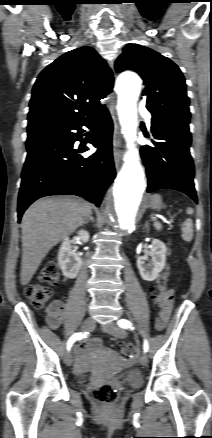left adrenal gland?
Listing matches in <instances>:
<instances>
[{"mask_svg":"<svg viewBox=\"0 0 212 438\" xmlns=\"http://www.w3.org/2000/svg\"><path fill=\"white\" fill-rule=\"evenodd\" d=\"M144 228H149L148 222L145 223Z\"/></svg>","mask_w":212,"mask_h":438,"instance_id":"1","label":"left adrenal gland"}]
</instances>
